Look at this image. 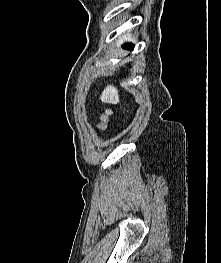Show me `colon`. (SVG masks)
<instances>
[{"label": "colon", "mask_w": 221, "mask_h": 263, "mask_svg": "<svg viewBox=\"0 0 221 263\" xmlns=\"http://www.w3.org/2000/svg\"><path fill=\"white\" fill-rule=\"evenodd\" d=\"M103 120H104V121L106 120V116L103 117Z\"/></svg>", "instance_id": "obj_1"}]
</instances>
